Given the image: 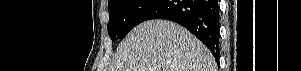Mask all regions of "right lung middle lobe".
I'll list each match as a JSON object with an SVG mask.
<instances>
[{
    "instance_id": "obj_1",
    "label": "right lung middle lobe",
    "mask_w": 301,
    "mask_h": 71,
    "mask_svg": "<svg viewBox=\"0 0 301 71\" xmlns=\"http://www.w3.org/2000/svg\"><path fill=\"white\" fill-rule=\"evenodd\" d=\"M156 0H109L108 34L112 42L124 38L128 32L139 24L141 15Z\"/></svg>"
}]
</instances>
